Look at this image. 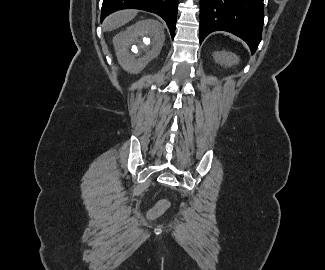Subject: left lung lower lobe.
Returning <instances> with one entry per match:
<instances>
[{
  "mask_svg": "<svg viewBox=\"0 0 325 270\" xmlns=\"http://www.w3.org/2000/svg\"><path fill=\"white\" fill-rule=\"evenodd\" d=\"M263 21V0H200V44L209 33L223 30L243 39L254 53Z\"/></svg>",
  "mask_w": 325,
  "mask_h": 270,
  "instance_id": "0a47b994",
  "label": "left lung lower lobe"
}]
</instances>
